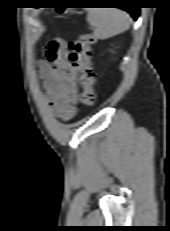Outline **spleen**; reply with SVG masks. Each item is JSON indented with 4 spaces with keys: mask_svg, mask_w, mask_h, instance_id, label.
<instances>
[{
    "mask_svg": "<svg viewBox=\"0 0 170 231\" xmlns=\"http://www.w3.org/2000/svg\"><path fill=\"white\" fill-rule=\"evenodd\" d=\"M87 20L94 27V37L102 40L118 35L130 26L129 15L116 8H91Z\"/></svg>",
    "mask_w": 170,
    "mask_h": 231,
    "instance_id": "1",
    "label": "spleen"
}]
</instances>
